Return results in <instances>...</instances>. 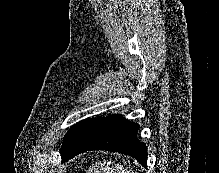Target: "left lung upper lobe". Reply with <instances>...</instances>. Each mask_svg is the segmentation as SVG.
<instances>
[{"label":"left lung upper lobe","mask_w":219,"mask_h":173,"mask_svg":"<svg viewBox=\"0 0 219 173\" xmlns=\"http://www.w3.org/2000/svg\"><path fill=\"white\" fill-rule=\"evenodd\" d=\"M90 120L91 119L88 118L80 121L68 130L67 134L64 137V144L62 146V149L60 150L61 156L74 145V143L77 141L78 137L81 135L82 131Z\"/></svg>","instance_id":"obj_1"}]
</instances>
